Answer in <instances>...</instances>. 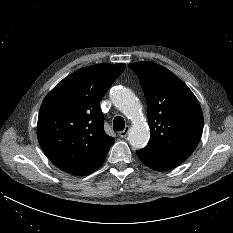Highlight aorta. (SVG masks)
<instances>
[{
  "instance_id": "obj_1",
  "label": "aorta",
  "mask_w": 233,
  "mask_h": 233,
  "mask_svg": "<svg viewBox=\"0 0 233 233\" xmlns=\"http://www.w3.org/2000/svg\"><path fill=\"white\" fill-rule=\"evenodd\" d=\"M113 104L132 121L128 141L136 149L143 148L149 140V127L141 117L140 107L133 92L126 88H115L111 91Z\"/></svg>"
}]
</instances>
